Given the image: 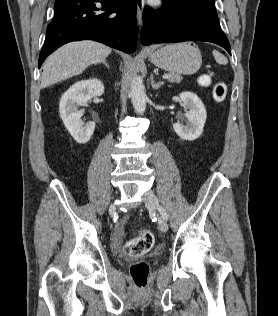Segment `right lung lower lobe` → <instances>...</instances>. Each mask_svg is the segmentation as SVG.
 <instances>
[{
    "label": "right lung lower lobe",
    "mask_w": 278,
    "mask_h": 316,
    "mask_svg": "<svg viewBox=\"0 0 278 316\" xmlns=\"http://www.w3.org/2000/svg\"><path fill=\"white\" fill-rule=\"evenodd\" d=\"M136 11L137 0H56L39 68L50 53L71 41L95 40L133 53L137 40Z\"/></svg>",
    "instance_id": "98d812e1"
}]
</instances>
